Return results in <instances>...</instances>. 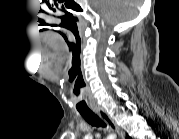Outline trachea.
<instances>
[{
    "label": "trachea",
    "mask_w": 179,
    "mask_h": 139,
    "mask_svg": "<svg viewBox=\"0 0 179 139\" xmlns=\"http://www.w3.org/2000/svg\"><path fill=\"white\" fill-rule=\"evenodd\" d=\"M80 114L92 126L106 127V124L103 122V120L99 118V116L96 115L94 112L86 111V112H80Z\"/></svg>",
    "instance_id": "obj_1"
}]
</instances>
